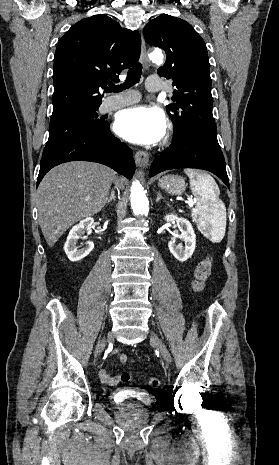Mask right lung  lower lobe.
Returning a JSON list of instances; mask_svg holds the SVG:
<instances>
[{"label": "right lung lower lobe", "instance_id": "right-lung-lower-lobe-1", "mask_svg": "<svg viewBox=\"0 0 279 465\" xmlns=\"http://www.w3.org/2000/svg\"><path fill=\"white\" fill-rule=\"evenodd\" d=\"M92 161L107 165L130 179L135 171L132 150L111 134L110 128L71 139L42 156L37 186L54 166L69 161Z\"/></svg>", "mask_w": 279, "mask_h": 465}]
</instances>
